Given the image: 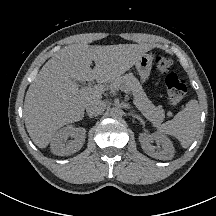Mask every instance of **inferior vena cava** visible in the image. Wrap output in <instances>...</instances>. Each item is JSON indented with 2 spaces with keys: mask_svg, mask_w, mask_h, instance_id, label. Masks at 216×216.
Returning <instances> with one entry per match:
<instances>
[{
  "mask_svg": "<svg viewBox=\"0 0 216 216\" xmlns=\"http://www.w3.org/2000/svg\"><path fill=\"white\" fill-rule=\"evenodd\" d=\"M105 110V104L101 100H91L86 105L88 116H98Z\"/></svg>",
  "mask_w": 216,
  "mask_h": 216,
  "instance_id": "1",
  "label": "inferior vena cava"
}]
</instances>
